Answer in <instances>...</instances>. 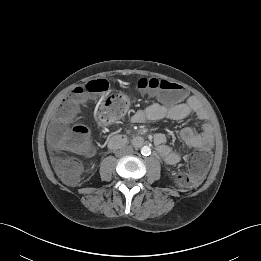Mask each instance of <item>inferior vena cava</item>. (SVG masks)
<instances>
[{"label":"inferior vena cava","mask_w":261,"mask_h":261,"mask_svg":"<svg viewBox=\"0 0 261 261\" xmlns=\"http://www.w3.org/2000/svg\"><path fill=\"white\" fill-rule=\"evenodd\" d=\"M120 151L123 153V154H131L133 153V148L131 146H125V147H122L120 149Z\"/></svg>","instance_id":"1"}]
</instances>
